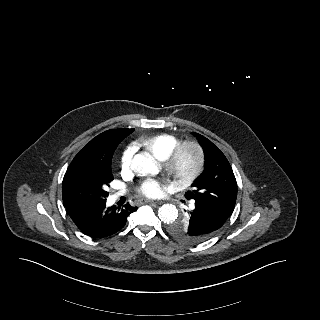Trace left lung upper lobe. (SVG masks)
<instances>
[{
  "label": "left lung upper lobe",
  "mask_w": 320,
  "mask_h": 320,
  "mask_svg": "<svg viewBox=\"0 0 320 320\" xmlns=\"http://www.w3.org/2000/svg\"><path fill=\"white\" fill-rule=\"evenodd\" d=\"M204 151L205 166L202 174L192 184L194 189L185 194L187 199L201 203L229 218L237 198V183L232 168L224 154L206 137L194 133ZM188 218L177 219L169 225L170 234L186 243L200 242L190 233Z\"/></svg>",
  "instance_id": "5c2ea615"
}]
</instances>
